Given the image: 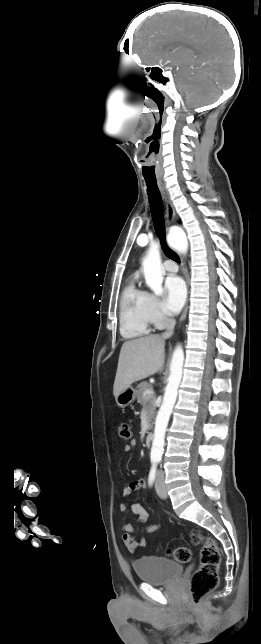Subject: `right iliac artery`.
<instances>
[{
  "mask_svg": "<svg viewBox=\"0 0 261 644\" xmlns=\"http://www.w3.org/2000/svg\"><path fill=\"white\" fill-rule=\"evenodd\" d=\"M156 460H152V467L149 474V485H152L156 476Z\"/></svg>",
  "mask_w": 261,
  "mask_h": 644,
  "instance_id": "obj_1",
  "label": "right iliac artery"
}]
</instances>
